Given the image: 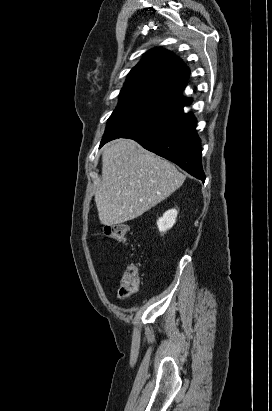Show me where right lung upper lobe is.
I'll return each instance as SVG.
<instances>
[{"label":"right lung upper lobe","mask_w":272,"mask_h":411,"mask_svg":"<svg viewBox=\"0 0 272 411\" xmlns=\"http://www.w3.org/2000/svg\"><path fill=\"white\" fill-rule=\"evenodd\" d=\"M188 76L189 69L180 58L165 49L154 48L130 71L121 92L151 94L182 108L191 103L190 98L182 96Z\"/></svg>","instance_id":"cb5924a9"}]
</instances>
